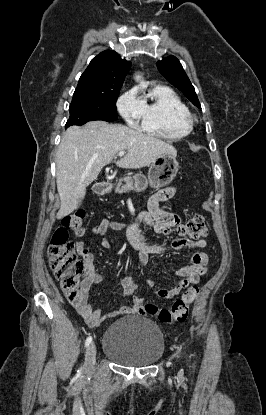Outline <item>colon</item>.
Segmentation results:
<instances>
[{
  "label": "colon",
  "mask_w": 266,
  "mask_h": 415,
  "mask_svg": "<svg viewBox=\"0 0 266 415\" xmlns=\"http://www.w3.org/2000/svg\"><path fill=\"white\" fill-rule=\"evenodd\" d=\"M84 218L83 211L65 217L62 226L53 233L47 250L49 266L59 279L62 291L70 302L75 301L79 296L80 278L85 273L86 266L75 253L74 243L68 238V229L77 235H82L84 233ZM176 232L181 236L198 240L207 235V227L204 218L201 215H195L185 223L177 225ZM197 294L198 289L191 287L174 301L170 309L148 303L143 305L142 312L145 315L156 317L164 323L184 322Z\"/></svg>",
  "instance_id": "colon-1"
}]
</instances>
